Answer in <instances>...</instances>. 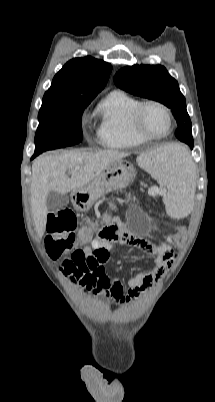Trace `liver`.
Here are the masks:
<instances>
[{"mask_svg":"<svg viewBox=\"0 0 215 402\" xmlns=\"http://www.w3.org/2000/svg\"><path fill=\"white\" fill-rule=\"evenodd\" d=\"M126 156L123 152L105 150L69 151L36 158L32 165L31 211L38 236L41 238L46 229V202L50 191L67 194L80 189L92 182L112 163ZM67 170L71 173L70 178L66 175Z\"/></svg>","mask_w":215,"mask_h":402,"instance_id":"6515ba94","label":"liver"}]
</instances>
